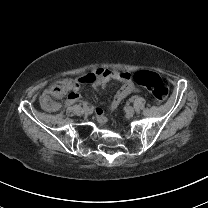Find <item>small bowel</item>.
Here are the masks:
<instances>
[{
    "label": "small bowel",
    "mask_w": 208,
    "mask_h": 208,
    "mask_svg": "<svg viewBox=\"0 0 208 208\" xmlns=\"http://www.w3.org/2000/svg\"><path fill=\"white\" fill-rule=\"evenodd\" d=\"M116 79L122 82L121 89L115 94L113 100L108 105V109L112 110L119 106V104L134 91V86L131 82L130 76L126 73H120L103 66L97 67L92 72L87 73L79 78H67L72 84V90H76L80 85L95 84L96 86L103 85L108 79ZM78 95L71 93L67 99V104L72 105L77 102ZM94 115L97 117L96 121L101 127H105L107 122L101 117L104 113L102 107L97 106L93 110Z\"/></svg>",
    "instance_id": "c3829d8e"
}]
</instances>
